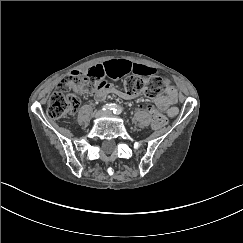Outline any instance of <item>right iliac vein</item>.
Here are the masks:
<instances>
[{
  "label": "right iliac vein",
  "instance_id": "63e3f726",
  "mask_svg": "<svg viewBox=\"0 0 243 243\" xmlns=\"http://www.w3.org/2000/svg\"><path fill=\"white\" fill-rule=\"evenodd\" d=\"M102 115H104V112H103L102 110H98V111L95 112L94 117H95V118H99V117H101Z\"/></svg>",
  "mask_w": 243,
  "mask_h": 243
}]
</instances>
